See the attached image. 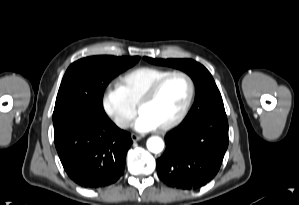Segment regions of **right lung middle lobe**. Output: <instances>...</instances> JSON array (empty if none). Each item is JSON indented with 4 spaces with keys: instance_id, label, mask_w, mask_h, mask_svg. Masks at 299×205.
Masks as SVG:
<instances>
[{
    "instance_id": "1",
    "label": "right lung middle lobe",
    "mask_w": 299,
    "mask_h": 205,
    "mask_svg": "<svg viewBox=\"0 0 299 205\" xmlns=\"http://www.w3.org/2000/svg\"><path fill=\"white\" fill-rule=\"evenodd\" d=\"M139 59L137 56H92L72 63L57 94L53 112L54 131L84 114L106 117L102 106L106 86Z\"/></svg>"
}]
</instances>
